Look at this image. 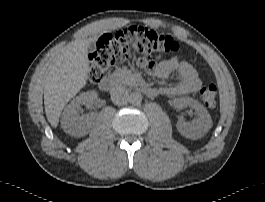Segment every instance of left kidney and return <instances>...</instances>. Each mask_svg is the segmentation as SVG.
<instances>
[{
  "mask_svg": "<svg viewBox=\"0 0 265 202\" xmlns=\"http://www.w3.org/2000/svg\"><path fill=\"white\" fill-rule=\"evenodd\" d=\"M174 106L177 109L190 107L197 114L192 121L178 120L176 128L182 136L195 140L204 136L212 127V119L208 110L198 101L189 97L176 98Z\"/></svg>",
  "mask_w": 265,
  "mask_h": 202,
  "instance_id": "obj_1",
  "label": "left kidney"
}]
</instances>
